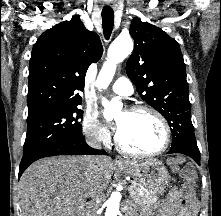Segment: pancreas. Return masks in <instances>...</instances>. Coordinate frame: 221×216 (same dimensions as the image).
I'll return each mask as SVG.
<instances>
[{"label":"pancreas","instance_id":"1","mask_svg":"<svg viewBox=\"0 0 221 216\" xmlns=\"http://www.w3.org/2000/svg\"><path fill=\"white\" fill-rule=\"evenodd\" d=\"M130 188V195L133 201L140 206H150L156 203L158 196L151 190L134 183Z\"/></svg>","mask_w":221,"mask_h":216}]
</instances>
